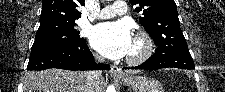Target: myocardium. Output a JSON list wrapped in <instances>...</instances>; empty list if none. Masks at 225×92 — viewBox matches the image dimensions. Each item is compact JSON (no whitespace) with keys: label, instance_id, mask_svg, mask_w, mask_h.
<instances>
[{"label":"myocardium","instance_id":"myocardium-1","mask_svg":"<svg viewBox=\"0 0 225 92\" xmlns=\"http://www.w3.org/2000/svg\"><path fill=\"white\" fill-rule=\"evenodd\" d=\"M134 42L138 45L139 52L136 55H128L126 62L130 65H139L152 55L154 46L152 39L144 31H139L135 34Z\"/></svg>","mask_w":225,"mask_h":92}]
</instances>
